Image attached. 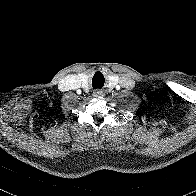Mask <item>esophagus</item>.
<instances>
[{
	"label": "esophagus",
	"mask_w": 196,
	"mask_h": 196,
	"mask_svg": "<svg viewBox=\"0 0 196 196\" xmlns=\"http://www.w3.org/2000/svg\"><path fill=\"white\" fill-rule=\"evenodd\" d=\"M104 93H103V91L102 90H99V89H97V90H95L94 92H93V96L94 97H100V96H102Z\"/></svg>",
	"instance_id": "esophagus-1"
}]
</instances>
